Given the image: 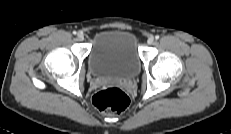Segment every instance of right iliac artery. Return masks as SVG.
Wrapping results in <instances>:
<instances>
[{
    "label": "right iliac artery",
    "mask_w": 231,
    "mask_h": 134,
    "mask_svg": "<svg viewBox=\"0 0 231 134\" xmlns=\"http://www.w3.org/2000/svg\"><path fill=\"white\" fill-rule=\"evenodd\" d=\"M73 34H74V35H76V34H77V32H76V31H73Z\"/></svg>",
    "instance_id": "1"
}]
</instances>
